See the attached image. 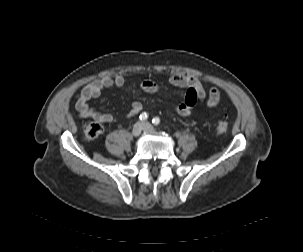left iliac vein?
<instances>
[{"mask_svg":"<svg viewBox=\"0 0 303 252\" xmlns=\"http://www.w3.org/2000/svg\"><path fill=\"white\" fill-rule=\"evenodd\" d=\"M143 130L145 131H154V128L152 127V125L148 122H143Z\"/></svg>","mask_w":303,"mask_h":252,"instance_id":"left-iliac-vein-1","label":"left iliac vein"}]
</instances>
